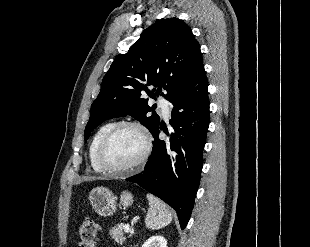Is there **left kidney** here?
<instances>
[{
    "instance_id": "obj_1",
    "label": "left kidney",
    "mask_w": 310,
    "mask_h": 247,
    "mask_svg": "<svg viewBox=\"0 0 310 247\" xmlns=\"http://www.w3.org/2000/svg\"><path fill=\"white\" fill-rule=\"evenodd\" d=\"M142 247H167V240L163 236H152Z\"/></svg>"
}]
</instances>
